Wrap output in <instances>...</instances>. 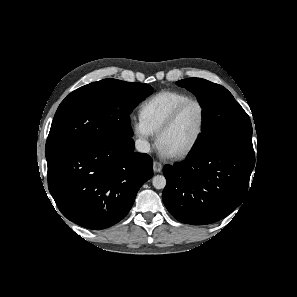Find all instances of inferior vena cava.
Returning <instances> with one entry per match:
<instances>
[{"label":"inferior vena cava","mask_w":297,"mask_h":297,"mask_svg":"<svg viewBox=\"0 0 297 297\" xmlns=\"http://www.w3.org/2000/svg\"><path fill=\"white\" fill-rule=\"evenodd\" d=\"M135 148L141 153H149L151 150L149 142L145 139H137L135 141Z\"/></svg>","instance_id":"1"}]
</instances>
